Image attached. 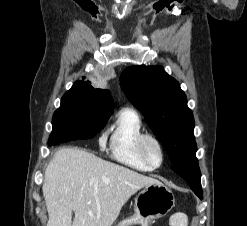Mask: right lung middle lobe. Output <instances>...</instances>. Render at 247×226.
Here are the masks:
<instances>
[{"label": "right lung middle lobe", "instance_id": "obj_1", "mask_svg": "<svg viewBox=\"0 0 247 226\" xmlns=\"http://www.w3.org/2000/svg\"><path fill=\"white\" fill-rule=\"evenodd\" d=\"M110 113L102 104L77 92H66L52 119L49 145L94 137L107 123Z\"/></svg>", "mask_w": 247, "mask_h": 226}]
</instances>
